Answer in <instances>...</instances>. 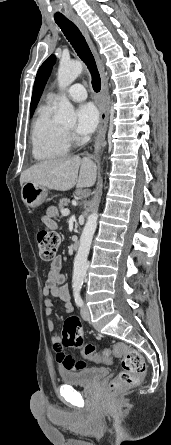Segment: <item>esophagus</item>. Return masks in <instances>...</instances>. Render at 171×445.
Here are the masks:
<instances>
[{"instance_id": "esophagus-1", "label": "esophagus", "mask_w": 171, "mask_h": 445, "mask_svg": "<svg viewBox=\"0 0 171 445\" xmlns=\"http://www.w3.org/2000/svg\"><path fill=\"white\" fill-rule=\"evenodd\" d=\"M73 21L75 22V24L77 25L79 30L82 32V34L86 38V40L94 54V57H95V60L97 62V66H98V69L100 72V76H101L102 87H101V103H100V110H101L100 124H99L98 133H97V136L95 139V143H94V151L97 154V153H99V151L102 148L103 142L105 140L106 131H107V123H108V115H109L108 83H107L106 73L104 70V65L96 51L95 46L93 45V42L89 36V33H88L85 23L79 17H73Z\"/></svg>"}]
</instances>
